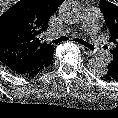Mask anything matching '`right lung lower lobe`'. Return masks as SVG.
I'll use <instances>...</instances> for the list:
<instances>
[{
  "mask_svg": "<svg viewBox=\"0 0 118 118\" xmlns=\"http://www.w3.org/2000/svg\"><path fill=\"white\" fill-rule=\"evenodd\" d=\"M4 66L14 74L22 76H34L43 71L34 65H23L20 62H9L5 63Z\"/></svg>",
  "mask_w": 118,
  "mask_h": 118,
  "instance_id": "1",
  "label": "right lung lower lobe"
}]
</instances>
